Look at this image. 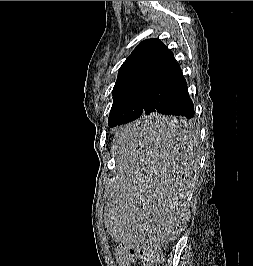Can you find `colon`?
Here are the masks:
<instances>
[{
    "mask_svg": "<svg viewBox=\"0 0 253 266\" xmlns=\"http://www.w3.org/2000/svg\"><path fill=\"white\" fill-rule=\"evenodd\" d=\"M115 256L121 264L139 259L141 266H153L162 261L160 248H120L119 246L115 250Z\"/></svg>",
    "mask_w": 253,
    "mask_h": 266,
    "instance_id": "colon-1",
    "label": "colon"
}]
</instances>
